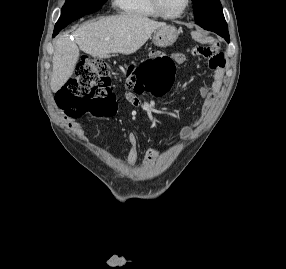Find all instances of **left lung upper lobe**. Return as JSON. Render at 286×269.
<instances>
[{
  "label": "left lung upper lobe",
  "instance_id": "1",
  "mask_svg": "<svg viewBox=\"0 0 286 269\" xmlns=\"http://www.w3.org/2000/svg\"><path fill=\"white\" fill-rule=\"evenodd\" d=\"M192 1L195 20L199 26L215 33L228 31L220 0Z\"/></svg>",
  "mask_w": 286,
  "mask_h": 269
}]
</instances>
